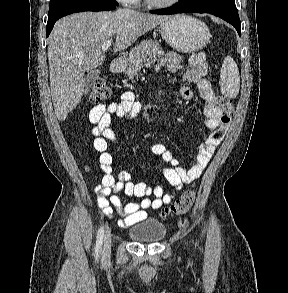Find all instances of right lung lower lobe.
I'll return each mask as SVG.
<instances>
[{
	"label": "right lung lower lobe",
	"mask_w": 288,
	"mask_h": 293,
	"mask_svg": "<svg viewBox=\"0 0 288 293\" xmlns=\"http://www.w3.org/2000/svg\"><path fill=\"white\" fill-rule=\"evenodd\" d=\"M115 7L116 6H98L93 4H80V5H75L72 7L65 8L51 16H48L46 37L49 36L55 22L61 17H64L72 13L83 12V11H109V10L115 9Z\"/></svg>",
	"instance_id": "obj_1"
}]
</instances>
